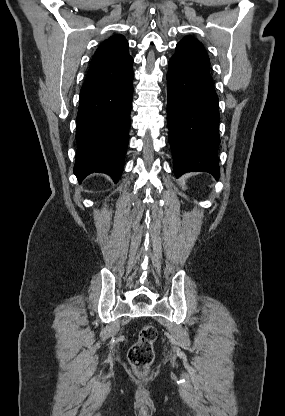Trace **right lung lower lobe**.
<instances>
[{"instance_id": "obj_1", "label": "right lung lower lobe", "mask_w": 285, "mask_h": 416, "mask_svg": "<svg viewBox=\"0 0 285 416\" xmlns=\"http://www.w3.org/2000/svg\"><path fill=\"white\" fill-rule=\"evenodd\" d=\"M133 71L118 82L80 95L77 114V153L74 173L81 181L93 172L117 182L128 145Z\"/></svg>"}]
</instances>
